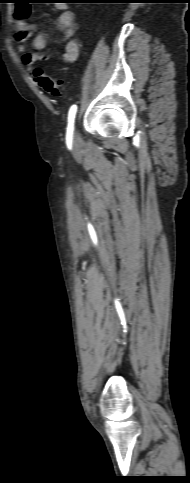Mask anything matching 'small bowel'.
<instances>
[{
	"label": "small bowel",
	"instance_id": "obj_1",
	"mask_svg": "<svg viewBox=\"0 0 190 483\" xmlns=\"http://www.w3.org/2000/svg\"><path fill=\"white\" fill-rule=\"evenodd\" d=\"M23 8L26 13V17L30 13V7L17 6L15 10L16 16V34L15 42L17 44L18 51L21 55V60L27 67H32L33 65L46 60L48 58L47 54H39L31 52L27 48V40L32 36L34 27L28 25L25 18L18 19L17 12L18 9ZM56 26L62 30L63 39L65 41L63 53L61 59L65 63H73L78 57L79 47L75 40V34L77 31V25L75 22L74 13L71 10L63 9L56 17ZM47 35L45 33H37L32 38V44L35 49L43 50L46 46Z\"/></svg>",
	"mask_w": 190,
	"mask_h": 483
}]
</instances>
